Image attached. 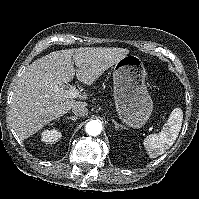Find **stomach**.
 <instances>
[{
	"label": "stomach",
	"mask_w": 199,
	"mask_h": 199,
	"mask_svg": "<svg viewBox=\"0 0 199 199\" xmlns=\"http://www.w3.org/2000/svg\"><path fill=\"white\" fill-rule=\"evenodd\" d=\"M146 70L142 60L133 54L125 55L114 65V99L119 118L133 128L149 120L153 102L145 84Z\"/></svg>",
	"instance_id": "obj_1"
}]
</instances>
